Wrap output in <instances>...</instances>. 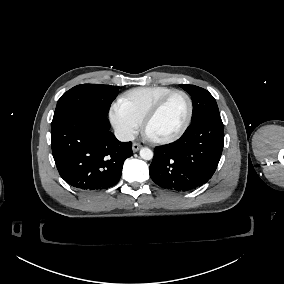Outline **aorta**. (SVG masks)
Segmentation results:
<instances>
[{"instance_id":"aorta-1","label":"aorta","mask_w":284,"mask_h":284,"mask_svg":"<svg viewBox=\"0 0 284 284\" xmlns=\"http://www.w3.org/2000/svg\"><path fill=\"white\" fill-rule=\"evenodd\" d=\"M140 157L144 160H151L153 158V152L147 147H143L140 150Z\"/></svg>"}]
</instances>
